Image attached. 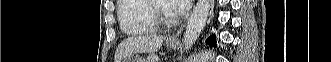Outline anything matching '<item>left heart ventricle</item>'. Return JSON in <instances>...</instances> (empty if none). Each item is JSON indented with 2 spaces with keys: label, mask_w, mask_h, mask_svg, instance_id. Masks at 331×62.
<instances>
[{
  "label": "left heart ventricle",
  "mask_w": 331,
  "mask_h": 62,
  "mask_svg": "<svg viewBox=\"0 0 331 62\" xmlns=\"http://www.w3.org/2000/svg\"><path fill=\"white\" fill-rule=\"evenodd\" d=\"M160 4H161L163 10H164L166 13H168V10H167V4H166L165 2H160ZM168 14H169V13H168Z\"/></svg>",
  "instance_id": "obj_1"
}]
</instances>
